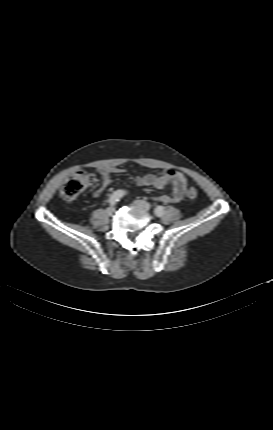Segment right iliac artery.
I'll use <instances>...</instances> for the list:
<instances>
[{
    "mask_svg": "<svg viewBox=\"0 0 273 430\" xmlns=\"http://www.w3.org/2000/svg\"><path fill=\"white\" fill-rule=\"evenodd\" d=\"M125 191L124 190H116L114 191L110 197H109V204L111 206H114L118 201H120V199L125 195Z\"/></svg>",
    "mask_w": 273,
    "mask_h": 430,
    "instance_id": "1",
    "label": "right iliac artery"
}]
</instances>
